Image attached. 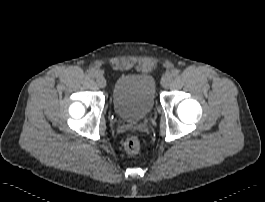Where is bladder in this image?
<instances>
[{"mask_svg": "<svg viewBox=\"0 0 265 202\" xmlns=\"http://www.w3.org/2000/svg\"><path fill=\"white\" fill-rule=\"evenodd\" d=\"M156 82L147 74H127L117 78L112 92L116 115L128 122L145 118L154 108Z\"/></svg>", "mask_w": 265, "mask_h": 202, "instance_id": "1", "label": "bladder"}]
</instances>
